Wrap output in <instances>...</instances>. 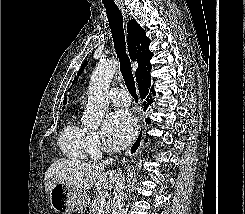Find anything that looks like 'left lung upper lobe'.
Returning <instances> with one entry per match:
<instances>
[{"label":"left lung upper lobe","mask_w":245,"mask_h":214,"mask_svg":"<svg viewBox=\"0 0 245 214\" xmlns=\"http://www.w3.org/2000/svg\"><path fill=\"white\" fill-rule=\"evenodd\" d=\"M87 63H88L87 61H85V62L83 63V66H82V68L78 71L77 76L81 75V73H82L84 67L87 66ZM76 80H77V78L74 79V81H73L72 84H74Z\"/></svg>","instance_id":"5c2ea615"}]
</instances>
